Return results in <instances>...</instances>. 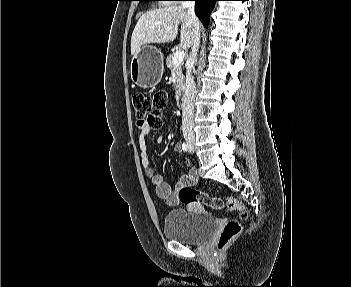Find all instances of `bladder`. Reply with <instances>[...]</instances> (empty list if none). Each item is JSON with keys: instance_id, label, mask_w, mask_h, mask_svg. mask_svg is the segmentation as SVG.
<instances>
[{"instance_id": "bladder-1", "label": "bladder", "mask_w": 351, "mask_h": 287, "mask_svg": "<svg viewBox=\"0 0 351 287\" xmlns=\"http://www.w3.org/2000/svg\"><path fill=\"white\" fill-rule=\"evenodd\" d=\"M218 225L217 219L209 215H198L185 209L170 211L164 220L163 233L167 239L186 245H199L210 239Z\"/></svg>"}]
</instances>
